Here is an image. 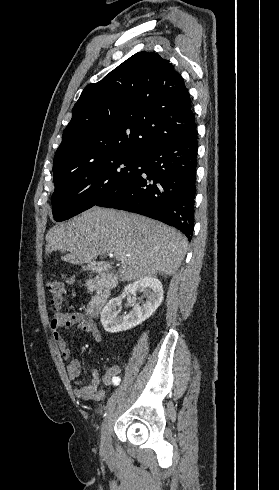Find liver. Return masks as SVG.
I'll return each instance as SVG.
<instances>
[{
	"label": "liver",
	"instance_id": "liver-1",
	"mask_svg": "<svg viewBox=\"0 0 279 490\" xmlns=\"http://www.w3.org/2000/svg\"><path fill=\"white\" fill-rule=\"evenodd\" d=\"M187 246L181 232L162 222L94 206L65 224L53 226L46 234L45 252H69L61 260L76 266L113 254L121 262V282H131L155 274L173 276Z\"/></svg>",
	"mask_w": 279,
	"mask_h": 490
}]
</instances>
